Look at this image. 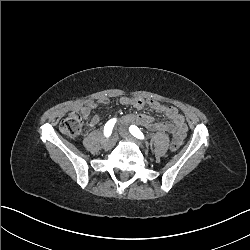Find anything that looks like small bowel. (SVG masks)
I'll use <instances>...</instances> for the list:
<instances>
[{"instance_id": "obj_1", "label": "small bowel", "mask_w": 250, "mask_h": 250, "mask_svg": "<svg viewBox=\"0 0 250 250\" xmlns=\"http://www.w3.org/2000/svg\"><path fill=\"white\" fill-rule=\"evenodd\" d=\"M120 102L122 105H133L136 109H142L145 104L142 98L122 97ZM100 103H108V100L103 98L100 100ZM146 103L151 110L168 118V121H155L154 118L149 115L130 113L124 117V122L136 123L150 131L173 133V138H178L181 144L187 133V125L183 115L180 114L175 107L162 104L154 99H148ZM95 108L96 104L92 101H88L79 108V112L83 117H87ZM92 121L94 123L98 122V116H94Z\"/></svg>"}]
</instances>
